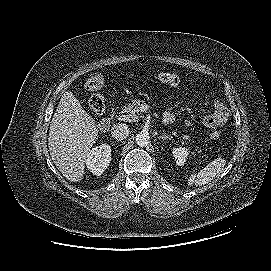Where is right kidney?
<instances>
[{
  "instance_id": "ca27d5eb",
  "label": "right kidney",
  "mask_w": 271,
  "mask_h": 271,
  "mask_svg": "<svg viewBox=\"0 0 271 271\" xmlns=\"http://www.w3.org/2000/svg\"><path fill=\"white\" fill-rule=\"evenodd\" d=\"M111 161V147L102 144L91 149L86 156V166L94 175L100 176Z\"/></svg>"
}]
</instances>
